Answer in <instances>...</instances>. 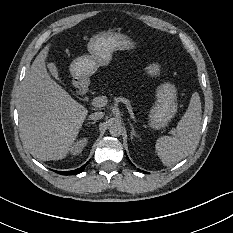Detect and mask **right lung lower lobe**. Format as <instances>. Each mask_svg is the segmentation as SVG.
Instances as JSON below:
<instances>
[{
	"label": "right lung lower lobe",
	"mask_w": 233,
	"mask_h": 233,
	"mask_svg": "<svg viewBox=\"0 0 233 233\" xmlns=\"http://www.w3.org/2000/svg\"><path fill=\"white\" fill-rule=\"evenodd\" d=\"M87 164L83 165L81 168H78L76 170H73V171H64V172H60V171H55L59 174H62V175H72V174H77V173H80L81 171H83V169L85 168Z\"/></svg>",
	"instance_id": "98d812e1"
}]
</instances>
